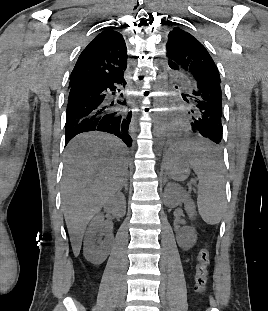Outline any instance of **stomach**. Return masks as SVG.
I'll list each match as a JSON object with an SVG mask.
<instances>
[{
    "label": "stomach",
    "instance_id": "1",
    "mask_svg": "<svg viewBox=\"0 0 268 311\" xmlns=\"http://www.w3.org/2000/svg\"><path fill=\"white\" fill-rule=\"evenodd\" d=\"M190 147H173L166 160V173L177 181H183L190 175Z\"/></svg>",
    "mask_w": 268,
    "mask_h": 311
}]
</instances>
